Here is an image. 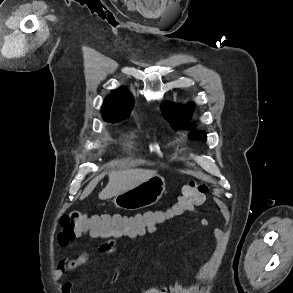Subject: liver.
<instances>
[{
    "label": "liver",
    "instance_id": "liver-1",
    "mask_svg": "<svg viewBox=\"0 0 293 293\" xmlns=\"http://www.w3.org/2000/svg\"><path fill=\"white\" fill-rule=\"evenodd\" d=\"M154 170L127 169L108 173L109 181L106 187L99 193V199L107 200L122 192L136 187L155 175ZM101 176H96L84 189L80 200L86 198L96 187Z\"/></svg>",
    "mask_w": 293,
    "mask_h": 293
}]
</instances>
